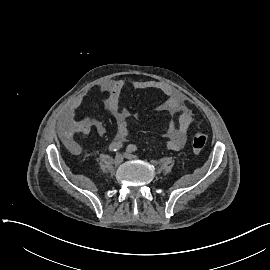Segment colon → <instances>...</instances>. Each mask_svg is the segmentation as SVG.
I'll list each match as a JSON object with an SVG mask.
<instances>
[{
    "label": "colon",
    "mask_w": 270,
    "mask_h": 270,
    "mask_svg": "<svg viewBox=\"0 0 270 270\" xmlns=\"http://www.w3.org/2000/svg\"><path fill=\"white\" fill-rule=\"evenodd\" d=\"M207 144V136L203 131L197 130L192 135V149L195 152L202 151Z\"/></svg>",
    "instance_id": "5ec220e1"
}]
</instances>
